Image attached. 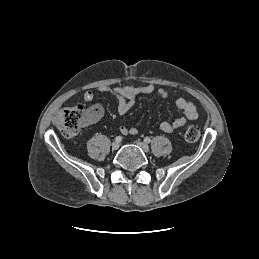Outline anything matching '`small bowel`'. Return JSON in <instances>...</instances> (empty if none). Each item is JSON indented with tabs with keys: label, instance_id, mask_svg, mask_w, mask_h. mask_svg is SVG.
<instances>
[{
	"label": "small bowel",
	"instance_id": "small-bowel-1",
	"mask_svg": "<svg viewBox=\"0 0 259 259\" xmlns=\"http://www.w3.org/2000/svg\"><path fill=\"white\" fill-rule=\"evenodd\" d=\"M100 92H107L114 95L118 100V112L120 114L127 113L136 101L137 96L156 93L160 99H165L168 96V92L156 87L153 84H147L143 86H110L101 85L97 88ZM85 101H91L94 98V93L91 90H86L83 94ZM176 107L183 112V116L176 118L173 122L164 121L160 124V129L165 133H173L176 129L181 128L187 121H193L198 118V110L196 106L185 98L179 97L175 100ZM94 112L92 121H97L102 116V108L99 105L92 107ZM120 132L123 135H136L138 130L134 127L121 126Z\"/></svg>",
	"mask_w": 259,
	"mask_h": 259
}]
</instances>
